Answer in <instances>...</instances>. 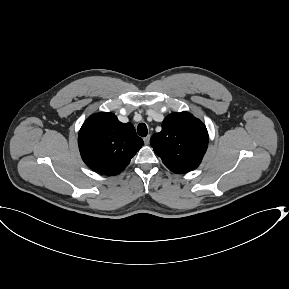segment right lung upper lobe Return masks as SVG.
Returning a JSON list of instances; mask_svg holds the SVG:
<instances>
[{
    "label": "right lung upper lobe",
    "mask_w": 289,
    "mask_h": 289,
    "mask_svg": "<svg viewBox=\"0 0 289 289\" xmlns=\"http://www.w3.org/2000/svg\"><path fill=\"white\" fill-rule=\"evenodd\" d=\"M78 145L83 161L93 171L116 175L142 147L131 123H121L112 113H97L82 125Z\"/></svg>",
    "instance_id": "cb5924a9"
}]
</instances>
